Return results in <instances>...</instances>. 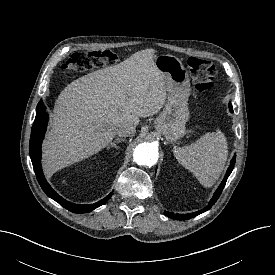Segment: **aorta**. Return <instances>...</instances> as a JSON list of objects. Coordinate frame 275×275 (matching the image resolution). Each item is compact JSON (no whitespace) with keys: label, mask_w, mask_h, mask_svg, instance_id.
Masks as SVG:
<instances>
[{"label":"aorta","mask_w":275,"mask_h":275,"mask_svg":"<svg viewBox=\"0 0 275 275\" xmlns=\"http://www.w3.org/2000/svg\"><path fill=\"white\" fill-rule=\"evenodd\" d=\"M159 157L158 148L151 143H141L134 149L133 159L138 165L153 166Z\"/></svg>","instance_id":"1"}]
</instances>
